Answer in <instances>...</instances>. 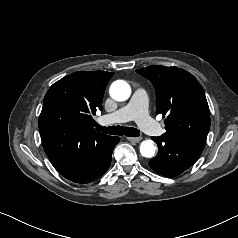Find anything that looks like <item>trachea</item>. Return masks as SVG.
I'll use <instances>...</instances> for the list:
<instances>
[{"label": "trachea", "instance_id": "obj_1", "mask_svg": "<svg viewBox=\"0 0 238 238\" xmlns=\"http://www.w3.org/2000/svg\"><path fill=\"white\" fill-rule=\"evenodd\" d=\"M95 127L99 131L111 135H125L127 137H138L140 135V131L133 127H124V126L103 127L98 124H95Z\"/></svg>", "mask_w": 238, "mask_h": 238}]
</instances>
